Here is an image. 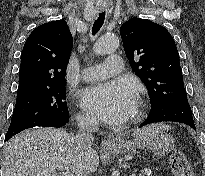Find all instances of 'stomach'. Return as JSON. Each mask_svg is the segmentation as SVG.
I'll return each instance as SVG.
<instances>
[{
  "mask_svg": "<svg viewBox=\"0 0 205 176\" xmlns=\"http://www.w3.org/2000/svg\"><path fill=\"white\" fill-rule=\"evenodd\" d=\"M146 128L150 130L145 135L136 137L134 141L117 140L110 152L124 154L135 148H144L151 150L156 156H164L173 149L175 139L165 132V125H151Z\"/></svg>",
  "mask_w": 205,
  "mask_h": 176,
  "instance_id": "0dacf381",
  "label": "stomach"
}]
</instances>
